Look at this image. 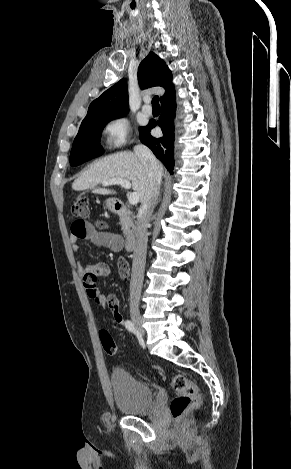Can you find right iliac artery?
Here are the masks:
<instances>
[{"label": "right iliac artery", "mask_w": 291, "mask_h": 469, "mask_svg": "<svg viewBox=\"0 0 291 469\" xmlns=\"http://www.w3.org/2000/svg\"><path fill=\"white\" fill-rule=\"evenodd\" d=\"M125 327L128 331H130L132 333H136V328L130 320L125 321Z\"/></svg>", "instance_id": "right-iliac-artery-1"}]
</instances>
